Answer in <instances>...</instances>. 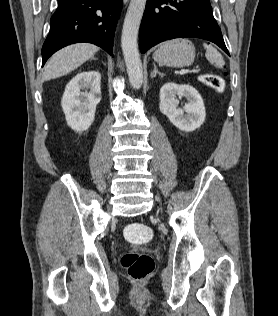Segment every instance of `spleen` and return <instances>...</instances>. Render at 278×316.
<instances>
[{
  "label": "spleen",
  "mask_w": 278,
  "mask_h": 316,
  "mask_svg": "<svg viewBox=\"0 0 278 316\" xmlns=\"http://www.w3.org/2000/svg\"><path fill=\"white\" fill-rule=\"evenodd\" d=\"M203 46L206 50L205 56L207 60L210 63L215 64L216 67L222 68L224 66L222 55L212 45H207L204 43Z\"/></svg>",
  "instance_id": "spleen-1"
}]
</instances>
